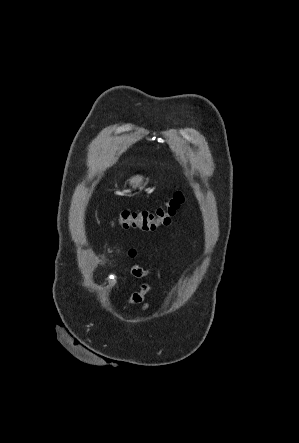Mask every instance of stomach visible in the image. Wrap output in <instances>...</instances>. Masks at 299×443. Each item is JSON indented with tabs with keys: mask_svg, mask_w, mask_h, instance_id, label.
I'll list each match as a JSON object with an SVG mask.
<instances>
[{
	"mask_svg": "<svg viewBox=\"0 0 299 443\" xmlns=\"http://www.w3.org/2000/svg\"><path fill=\"white\" fill-rule=\"evenodd\" d=\"M129 184L130 186H132L133 188H139L142 189L144 187L143 184V177L142 176H134L129 180Z\"/></svg>",
	"mask_w": 299,
	"mask_h": 443,
	"instance_id": "obj_1",
	"label": "stomach"
}]
</instances>
